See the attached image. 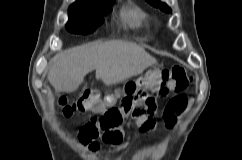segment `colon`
<instances>
[{"label": "colon", "instance_id": "obj_1", "mask_svg": "<svg viewBox=\"0 0 242 160\" xmlns=\"http://www.w3.org/2000/svg\"><path fill=\"white\" fill-rule=\"evenodd\" d=\"M190 83L191 76L182 66L156 69L137 80L126 83L124 99L121 103L122 109L110 107L103 110L104 104L94 90H85L71 98L63 96L60 98V105L62 113L66 117L75 113L102 112L98 117L91 116L80 128L82 141L90 143L100 135L119 127L125 115H131L137 119L146 118L147 125H154L155 97H165L171 93H176L177 95L171 99L165 110V117L171 120L174 114H180L185 110L187 100L182 93ZM112 99L111 96L106 101Z\"/></svg>", "mask_w": 242, "mask_h": 160}]
</instances>
